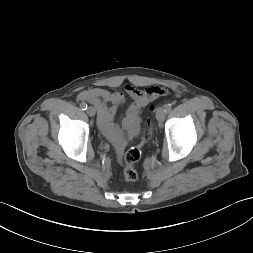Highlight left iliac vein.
<instances>
[{
    "mask_svg": "<svg viewBox=\"0 0 253 253\" xmlns=\"http://www.w3.org/2000/svg\"><path fill=\"white\" fill-rule=\"evenodd\" d=\"M166 117V111H165V108L164 107H159L157 108L156 110V118L159 122H162L164 121Z\"/></svg>",
    "mask_w": 253,
    "mask_h": 253,
    "instance_id": "obj_1",
    "label": "left iliac vein"
}]
</instances>
